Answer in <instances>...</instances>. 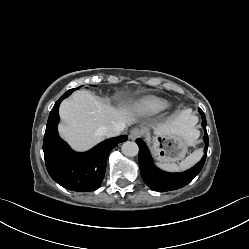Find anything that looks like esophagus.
I'll list each match as a JSON object with an SVG mask.
<instances>
[{
    "mask_svg": "<svg viewBox=\"0 0 249 249\" xmlns=\"http://www.w3.org/2000/svg\"><path fill=\"white\" fill-rule=\"evenodd\" d=\"M143 135V131L139 128H134L131 130L129 138L131 140H136L137 138H140Z\"/></svg>",
    "mask_w": 249,
    "mask_h": 249,
    "instance_id": "1",
    "label": "esophagus"
}]
</instances>
